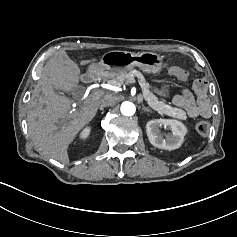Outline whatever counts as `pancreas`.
<instances>
[{
  "instance_id": "obj_1",
  "label": "pancreas",
  "mask_w": 237,
  "mask_h": 237,
  "mask_svg": "<svg viewBox=\"0 0 237 237\" xmlns=\"http://www.w3.org/2000/svg\"><path fill=\"white\" fill-rule=\"evenodd\" d=\"M135 76L138 78V82L142 88L145 100L152 109L158 111L161 114H166L174 118L186 119L185 111L168 106L163 101L158 100V98L150 91V84L146 82L144 76L139 71L134 70L129 73H122L116 77H113L111 80H108V83L118 86L127 79L135 80Z\"/></svg>"
}]
</instances>
